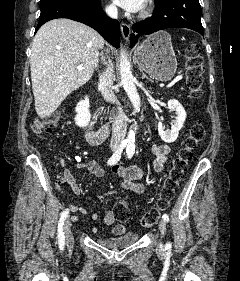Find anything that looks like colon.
<instances>
[{"instance_id": "1", "label": "colon", "mask_w": 240, "mask_h": 281, "mask_svg": "<svg viewBox=\"0 0 240 281\" xmlns=\"http://www.w3.org/2000/svg\"><path fill=\"white\" fill-rule=\"evenodd\" d=\"M185 83L192 97L198 98L201 95L203 84V62L200 56L199 46L195 43H190L185 49ZM59 121L60 114L54 113L46 119L36 121L34 129L38 134H42L56 126ZM204 136V125L201 122L194 124L184 141L183 147L177 153V156L169 169L161 188L157 204L149 210L141 220L144 227L154 225L161 212L169 206L179 183L184 178L192 153L198 143L203 140ZM113 213L115 219L120 223H126L130 216L129 207L124 201L115 203Z\"/></svg>"}]
</instances>
